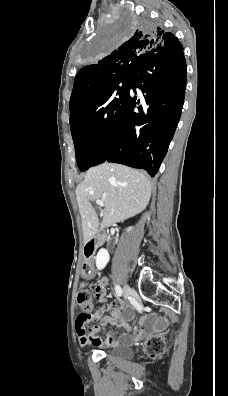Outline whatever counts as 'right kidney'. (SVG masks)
<instances>
[{"label": "right kidney", "instance_id": "ca27d5eb", "mask_svg": "<svg viewBox=\"0 0 228 396\" xmlns=\"http://www.w3.org/2000/svg\"><path fill=\"white\" fill-rule=\"evenodd\" d=\"M132 228H128L127 231H130ZM110 256L109 253L106 249L102 248L99 250L97 253V256L95 258L96 260V267L98 270H102L105 268L107 263L109 262Z\"/></svg>", "mask_w": 228, "mask_h": 396}]
</instances>
